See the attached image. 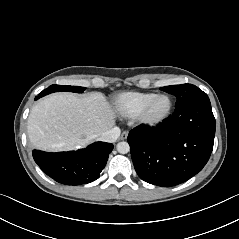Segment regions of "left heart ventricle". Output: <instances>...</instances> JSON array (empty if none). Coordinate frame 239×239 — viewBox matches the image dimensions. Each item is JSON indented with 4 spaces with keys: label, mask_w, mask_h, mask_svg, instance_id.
<instances>
[{
    "label": "left heart ventricle",
    "mask_w": 239,
    "mask_h": 239,
    "mask_svg": "<svg viewBox=\"0 0 239 239\" xmlns=\"http://www.w3.org/2000/svg\"><path fill=\"white\" fill-rule=\"evenodd\" d=\"M167 107V101L164 98L158 99L154 102L150 109V115L152 117H157L161 115Z\"/></svg>",
    "instance_id": "1"
}]
</instances>
